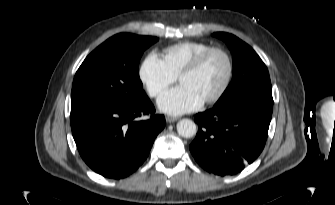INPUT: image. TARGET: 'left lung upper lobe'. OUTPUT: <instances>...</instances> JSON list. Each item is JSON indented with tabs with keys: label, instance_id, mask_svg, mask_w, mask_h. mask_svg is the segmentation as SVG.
<instances>
[{
	"label": "left lung upper lobe",
	"instance_id": "obj_1",
	"mask_svg": "<svg viewBox=\"0 0 335 205\" xmlns=\"http://www.w3.org/2000/svg\"><path fill=\"white\" fill-rule=\"evenodd\" d=\"M233 56V78L215 105L237 99H256L273 105L272 87L266 65L256 52L236 36L217 32Z\"/></svg>",
	"mask_w": 335,
	"mask_h": 205
}]
</instances>
